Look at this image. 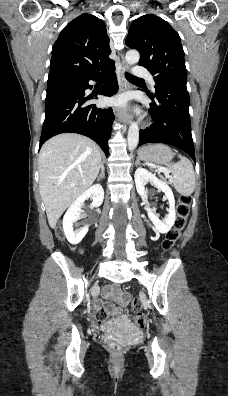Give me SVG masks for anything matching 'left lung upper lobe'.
Masks as SVG:
<instances>
[{
	"mask_svg": "<svg viewBox=\"0 0 228 396\" xmlns=\"http://www.w3.org/2000/svg\"><path fill=\"white\" fill-rule=\"evenodd\" d=\"M126 45L140 52L139 65L154 75L156 84L186 83L187 70L180 37L165 20L152 14L137 18L129 28Z\"/></svg>",
	"mask_w": 228,
	"mask_h": 396,
	"instance_id": "left-lung-upper-lobe-1",
	"label": "left lung upper lobe"
}]
</instances>
